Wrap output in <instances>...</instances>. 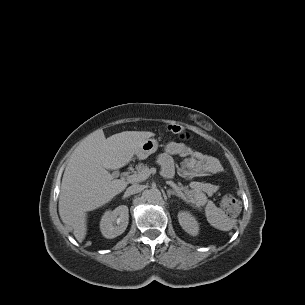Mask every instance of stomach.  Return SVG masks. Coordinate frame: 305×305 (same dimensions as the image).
Masks as SVG:
<instances>
[{"label": "stomach", "mask_w": 305, "mask_h": 305, "mask_svg": "<svg viewBox=\"0 0 305 305\" xmlns=\"http://www.w3.org/2000/svg\"><path fill=\"white\" fill-rule=\"evenodd\" d=\"M158 149V142L154 138L144 140L135 155L139 160H144Z\"/></svg>", "instance_id": "1"}]
</instances>
